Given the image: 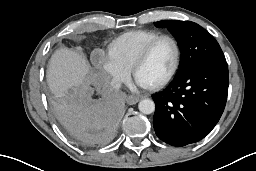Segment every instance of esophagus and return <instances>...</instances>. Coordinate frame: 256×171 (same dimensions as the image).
<instances>
[{"label":"esophagus","mask_w":256,"mask_h":171,"mask_svg":"<svg viewBox=\"0 0 256 171\" xmlns=\"http://www.w3.org/2000/svg\"><path fill=\"white\" fill-rule=\"evenodd\" d=\"M139 97H136V96H128L127 98H126V102H127V104H129V105H134V104H136L137 102H139Z\"/></svg>","instance_id":"34e87169"}]
</instances>
